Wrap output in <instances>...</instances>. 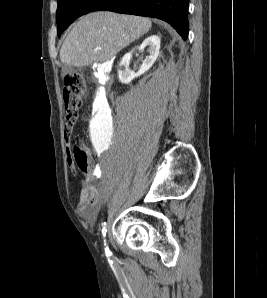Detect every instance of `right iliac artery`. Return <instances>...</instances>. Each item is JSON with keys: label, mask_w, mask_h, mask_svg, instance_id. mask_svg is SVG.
Masks as SVG:
<instances>
[{"label": "right iliac artery", "mask_w": 267, "mask_h": 298, "mask_svg": "<svg viewBox=\"0 0 267 298\" xmlns=\"http://www.w3.org/2000/svg\"><path fill=\"white\" fill-rule=\"evenodd\" d=\"M107 233V224L106 222L102 223V236L104 238V242H105V236ZM105 245V254L108 257V259H110L112 257V252L110 251V249L108 248V246H106V242L104 243ZM112 263V260H111Z\"/></svg>", "instance_id": "obj_1"}]
</instances>
